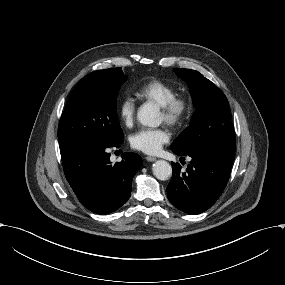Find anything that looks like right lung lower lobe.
Segmentation results:
<instances>
[{
	"label": "right lung lower lobe",
	"mask_w": 285,
	"mask_h": 285,
	"mask_svg": "<svg viewBox=\"0 0 285 285\" xmlns=\"http://www.w3.org/2000/svg\"><path fill=\"white\" fill-rule=\"evenodd\" d=\"M120 144H85L60 150L67 181L79 201L94 213H111L130 197L132 179L142 160L137 154L123 153V160L112 166L108 148Z\"/></svg>",
	"instance_id": "obj_1"
}]
</instances>
